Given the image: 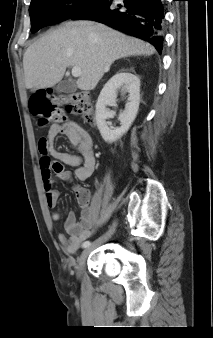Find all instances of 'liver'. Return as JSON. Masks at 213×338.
<instances>
[{"mask_svg":"<svg viewBox=\"0 0 213 338\" xmlns=\"http://www.w3.org/2000/svg\"><path fill=\"white\" fill-rule=\"evenodd\" d=\"M155 48L91 21L68 22L30 45L23 56L25 85L36 91L60 82L67 67H79L80 90H93L112 63L129 56H150Z\"/></svg>","mask_w":213,"mask_h":338,"instance_id":"1","label":"liver"}]
</instances>
